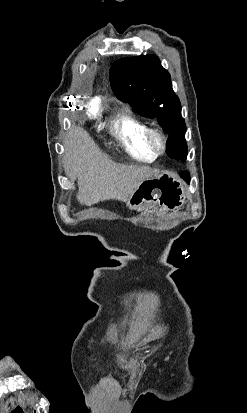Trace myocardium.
<instances>
[{"label": "myocardium", "instance_id": "obj_1", "mask_svg": "<svg viewBox=\"0 0 247 413\" xmlns=\"http://www.w3.org/2000/svg\"><path fill=\"white\" fill-rule=\"evenodd\" d=\"M154 138L157 142L153 141ZM141 139L146 149L156 156L162 155L166 150V137L159 129L145 127L142 131Z\"/></svg>", "mask_w": 247, "mask_h": 413}]
</instances>
